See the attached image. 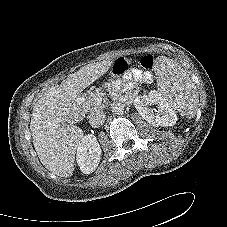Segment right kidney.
<instances>
[{"instance_id": "1", "label": "right kidney", "mask_w": 227, "mask_h": 227, "mask_svg": "<svg viewBox=\"0 0 227 227\" xmlns=\"http://www.w3.org/2000/svg\"><path fill=\"white\" fill-rule=\"evenodd\" d=\"M101 148L96 136L88 134L84 136L77 148L76 161L84 174H90L99 165Z\"/></svg>"}]
</instances>
